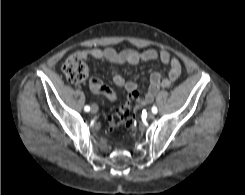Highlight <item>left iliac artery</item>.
<instances>
[{
  "label": "left iliac artery",
  "instance_id": "1",
  "mask_svg": "<svg viewBox=\"0 0 245 195\" xmlns=\"http://www.w3.org/2000/svg\"><path fill=\"white\" fill-rule=\"evenodd\" d=\"M152 112H153L154 114L157 113V107H156V106H153V107H152Z\"/></svg>",
  "mask_w": 245,
  "mask_h": 195
}]
</instances>
